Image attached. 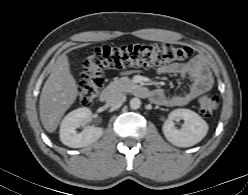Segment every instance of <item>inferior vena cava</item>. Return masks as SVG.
I'll use <instances>...</instances> for the list:
<instances>
[{
	"label": "inferior vena cava",
	"mask_w": 248,
	"mask_h": 195,
	"mask_svg": "<svg viewBox=\"0 0 248 195\" xmlns=\"http://www.w3.org/2000/svg\"><path fill=\"white\" fill-rule=\"evenodd\" d=\"M126 101V95L122 92H114L107 100V104L110 107H117L122 105Z\"/></svg>",
	"instance_id": "1"
}]
</instances>
